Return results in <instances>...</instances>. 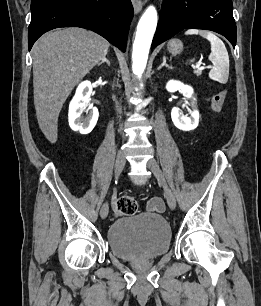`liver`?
<instances>
[{
	"mask_svg": "<svg viewBox=\"0 0 261 306\" xmlns=\"http://www.w3.org/2000/svg\"><path fill=\"white\" fill-rule=\"evenodd\" d=\"M110 44L82 28L50 31L32 48L34 105L39 127L51 143L57 141L61 108L74 87L102 61Z\"/></svg>",
	"mask_w": 261,
	"mask_h": 306,
	"instance_id": "6515ba94",
	"label": "liver"
}]
</instances>
